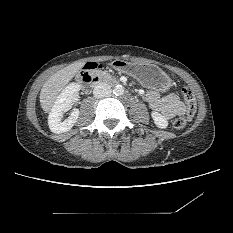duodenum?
I'll return each mask as SVG.
<instances>
[{
  "instance_id": "410a0bca",
  "label": "duodenum",
  "mask_w": 233,
  "mask_h": 233,
  "mask_svg": "<svg viewBox=\"0 0 233 233\" xmlns=\"http://www.w3.org/2000/svg\"><path fill=\"white\" fill-rule=\"evenodd\" d=\"M79 83L86 89H92L96 84L99 83L100 79L97 75L90 71H83L78 77ZM113 85L121 84L119 80L113 79L111 80Z\"/></svg>"
}]
</instances>
